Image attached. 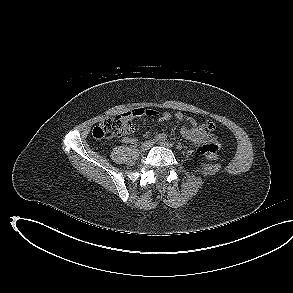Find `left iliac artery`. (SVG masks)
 Instances as JSON below:
<instances>
[{"label":"left iliac artery","instance_id":"1","mask_svg":"<svg viewBox=\"0 0 293 293\" xmlns=\"http://www.w3.org/2000/svg\"><path fill=\"white\" fill-rule=\"evenodd\" d=\"M176 148H177L178 150H181V149H182V145H181V144H178V145L176 146Z\"/></svg>","mask_w":293,"mask_h":293}]
</instances>
